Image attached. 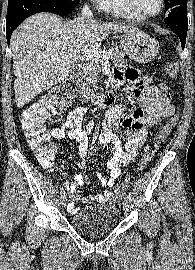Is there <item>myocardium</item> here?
Segmentation results:
<instances>
[{"label": "myocardium", "instance_id": "1", "mask_svg": "<svg viewBox=\"0 0 195 270\" xmlns=\"http://www.w3.org/2000/svg\"><path fill=\"white\" fill-rule=\"evenodd\" d=\"M124 2H125V5L127 6V8L134 15H136L138 18H140L141 20H147V19H151V18H154V17L158 16L163 11V8H164V5H165V1L160 0L159 1V8L155 13H153V14H141L134 7L132 0H124Z\"/></svg>", "mask_w": 195, "mask_h": 270}]
</instances>
